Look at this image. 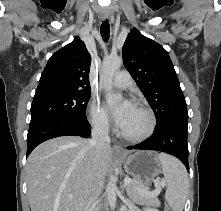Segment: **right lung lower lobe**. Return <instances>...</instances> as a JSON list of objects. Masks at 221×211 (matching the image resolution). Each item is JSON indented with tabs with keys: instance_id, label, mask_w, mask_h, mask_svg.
Segmentation results:
<instances>
[{
	"instance_id": "98d812e1",
	"label": "right lung lower lobe",
	"mask_w": 221,
	"mask_h": 211,
	"mask_svg": "<svg viewBox=\"0 0 221 211\" xmlns=\"http://www.w3.org/2000/svg\"><path fill=\"white\" fill-rule=\"evenodd\" d=\"M91 125L87 119L46 118L30 124L27 135V155L40 143L59 136L73 135L88 137Z\"/></svg>"
}]
</instances>
